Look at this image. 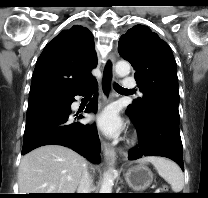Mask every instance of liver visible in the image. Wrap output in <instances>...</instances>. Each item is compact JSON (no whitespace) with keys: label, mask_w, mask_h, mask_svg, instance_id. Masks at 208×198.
I'll list each match as a JSON object with an SVG mask.
<instances>
[{"label":"liver","mask_w":208,"mask_h":198,"mask_svg":"<svg viewBox=\"0 0 208 198\" xmlns=\"http://www.w3.org/2000/svg\"><path fill=\"white\" fill-rule=\"evenodd\" d=\"M86 167V159L67 147L46 145L37 148L21 160L18 170L20 194L75 193Z\"/></svg>","instance_id":"obj_1"}]
</instances>
